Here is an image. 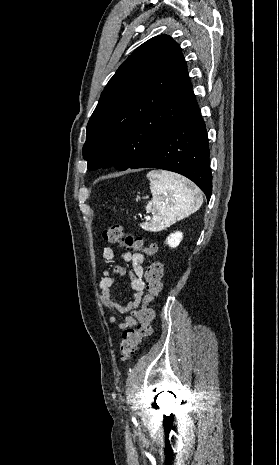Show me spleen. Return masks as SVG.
<instances>
[{
    "label": "spleen",
    "mask_w": 279,
    "mask_h": 465,
    "mask_svg": "<svg viewBox=\"0 0 279 465\" xmlns=\"http://www.w3.org/2000/svg\"><path fill=\"white\" fill-rule=\"evenodd\" d=\"M147 178L153 198L146 209L153 217L150 223L141 224L145 230L165 229L199 210L203 203L199 188L174 173L153 170Z\"/></svg>",
    "instance_id": "spleen-1"
}]
</instances>
